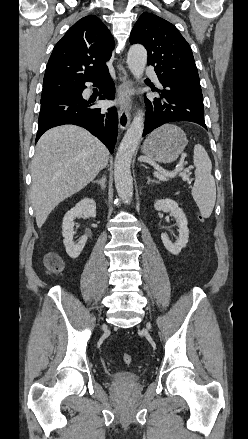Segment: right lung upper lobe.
I'll return each mask as SVG.
<instances>
[{
    "mask_svg": "<svg viewBox=\"0 0 248 439\" xmlns=\"http://www.w3.org/2000/svg\"><path fill=\"white\" fill-rule=\"evenodd\" d=\"M113 48V37L98 17L77 21L53 49L41 97L59 96L104 73Z\"/></svg>",
    "mask_w": 248,
    "mask_h": 439,
    "instance_id": "obj_1",
    "label": "right lung upper lobe"
}]
</instances>
